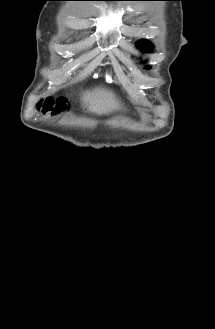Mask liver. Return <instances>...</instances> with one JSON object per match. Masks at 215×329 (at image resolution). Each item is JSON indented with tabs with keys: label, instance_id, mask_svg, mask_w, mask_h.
Here are the masks:
<instances>
[{
	"label": "liver",
	"instance_id": "obj_1",
	"mask_svg": "<svg viewBox=\"0 0 215 329\" xmlns=\"http://www.w3.org/2000/svg\"><path fill=\"white\" fill-rule=\"evenodd\" d=\"M81 101L90 112L97 115L108 114L121 108L114 92L102 87L85 91Z\"/></svg>",
	"mask_w": 215,
	"mask_h": 329
}]
</instances>
